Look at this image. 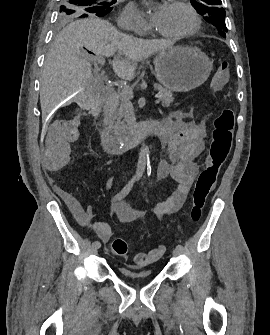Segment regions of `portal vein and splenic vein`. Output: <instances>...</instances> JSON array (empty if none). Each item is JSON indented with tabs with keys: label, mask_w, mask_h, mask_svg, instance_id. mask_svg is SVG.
<instances>
[{
	"label": "portal vein and splenic vein",
	"mask_w": 270,
	"mask_h": 335,
	"mask_svg": "<svg viewBox=\"0 0 270 335\" xmlns=\"http://www.w3.org/2000/svg\"><path fill=\"white\" fill-rule=\"evenodd\" d=\"M105 58V55L103 53H100L98 55V62H100V65L101 66H104L105 65V62L103 61V59ZM119 91L121 93H126L128 96H127V99L129 101H132L134 99V97L136 96V93L133 91V89L131 88V86H121L119 88ZM156 103H160V96H157V100L154 101Z\"/></svg>",
	"instance_id": "portal-vein-and-splenic-vein-1"
}]
</instances>
